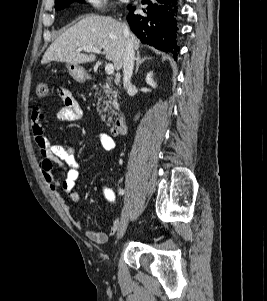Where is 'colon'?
Listing matches in <instances>:
<instances>
[{"instance_id":"obj_1","label":"colon","mask_w":267,"mask_h":301,"mask_svg":"<svg viewBox=\"0 0 267 301\" xmlns=\"http://www.w3.org/2000/svg\"><path fill=\"white\" fill-rule=\"evenodd\" d=\"M49 94V86L45 82H41L36 87V95L39 98H44ZM101 196L106 203V205L111 209H116L117 207V196L114 190L110 186H102L100 189Z\"/></svg>"}]
</instances>
